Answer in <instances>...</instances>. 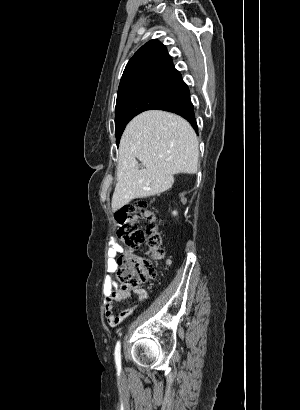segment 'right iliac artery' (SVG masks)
I'll use <instances>...</instances> for the list:
<instances>
[{"mask_svg":"<svg viewBox=\"0 0 300 410\" xmlns=\"http://www.w3.org/2000/svg\"><path fill=\"white\" fill-rule=\"evenodd\" d=\"M115 362L117 369L120 370L121 368V344L120 341L117 342L115 347Z\"/></svg>","mask_w":300,"mask_h":410,"instance_id":"82829eb1","label":"right iliac artery"}]
</instances>
